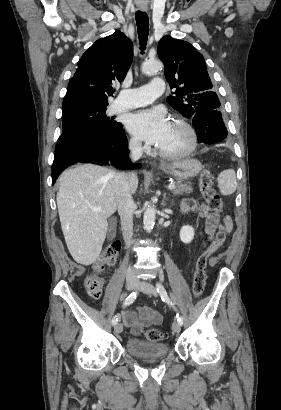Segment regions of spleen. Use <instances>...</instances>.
I'll list each match as a JSON object with an SVG mask.
<instances>
[{
    "instance_id": "3e777b00",
    "label": "spleen",
    "mask_w": 281,
    "mask_h": 410,
    "mask_svg": "<svg viewBox=\"0 0 281 410\" xmlns=\"http://www.w3.org/2000/svg\"><path fill=\"white\" fill-rule=\"evenodd\" d=\"M218 188L222 195H231L236 191L237 181L236 174L233 169L222 171L218 177Z\"/></svg>"
}]
</instances>
